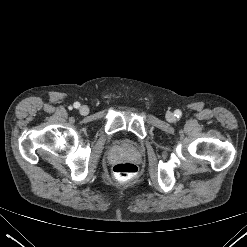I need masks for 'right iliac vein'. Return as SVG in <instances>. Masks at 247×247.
I'll list each match as a JSON object with an SVG mask.
<instances>
[{"instance_id":"63e3f726","label":"right iliac vein","mask_w":247,"mask_h":247,"mask_svg":"<svg viewBox=\"0 0 247 247\" xmlns=\"http://www.w3.org/2000/svg\"><path fill=\"white\" fill-rule=\"evenodd\" d=\"M79 111L81 115H87L89 113V108L87 106H81Z\"/></svg>"}]
</instances>
